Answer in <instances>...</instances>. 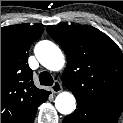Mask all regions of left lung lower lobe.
<instances>
[{
    "label": "left lung lower lobe",
    "mask_w": 123,
    "mask_h": 123,
    "mask_svg": "<svg viewBox=\"0 0 123 123\" xmlns=\"http://www.w3.org/2000/svg\"><path fill=\"white\" fill-rule=\"evenodd\" d=\"M120 113L107 107L77 100V109L63 123H117Z\"/></svg>",
    "instance_id": "left-lung-lower-lobe-1"
}]
</instances>
